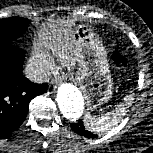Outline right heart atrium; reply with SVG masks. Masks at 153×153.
Wrapping results in <instances>:
<instances>
[{
  "label": "right heart atrium",
  "mask_w": 153,
  "mask_h": 153,
  "mask_svg": "<svg viewBox=\"0 0 153 153\" xmlns=\"http://www.w3.org/2000/svg\"><path fill=\"white\" fill-rule=\"evenodd\" d=\"M30 64L36 71L41 74L47 73L52 67V63L48 56L38 49L33 51L30 58Z\"/></svg>",
  "instance_id": "right-heart-atrium-1"
}]
</instances>
